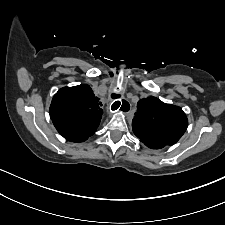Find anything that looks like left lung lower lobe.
<instances>
[{
    "mask_svg": "<svg viewBox=\"0 0 225 225\" xmlns=\"http://www.w3.org/2000/svg\"><path fill=\"white\" fill-rule=\"evenodd\" d=\"M145 145L148 146L151 149H161V148H163V147L155 146V145H149V144H145Z\"/></svg>",
    "mask_w": 225,
    "mask_h": 225,
    "instance_id": "obj_1",
    "label": "left lung lower lobe"
}]
</instances>
